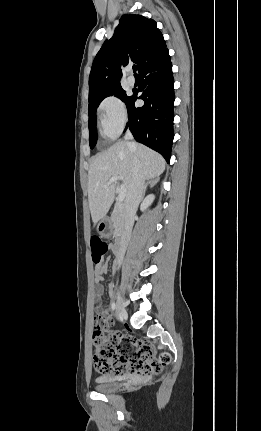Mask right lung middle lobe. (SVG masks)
<instances>
[{"label":"right lung middle lobe","mask_w":261,"mask_h":431,"mask_svg":"<svg viewBox=\"0 0 261 431\" xmlns=\"http://www.w3.org/2000/svg\"><path fill=\"white\" fill-rule=\"evenodd\" d=\"M116 96L120 98L125 103L129 99V96L126 95V92L122 89L121 85L112 87L103 92L97 93L91 97H89V105H88V113H89V144L90 148H93L97 142V133H96V110L100 102L108 97V96Z\"/></svg>","instance_id":"right-lung-middle-lobe-1"}]
</instances>
